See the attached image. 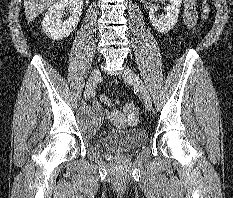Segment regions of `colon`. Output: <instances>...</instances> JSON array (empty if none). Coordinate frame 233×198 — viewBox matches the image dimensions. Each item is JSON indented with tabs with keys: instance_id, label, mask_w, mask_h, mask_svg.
I'll return each instance as SVG.
<instances>
[{
	"instance_id": "colon-1",
	"label": "colon",
	"mask_w": 233,
	"mask_h": 198,
	"mask_svg": "<svg viewBox=\"0 0 233 198\" xmlns=\"http://www.w3.org/2000/svg\"><path fill=\"white\" fill-rule=\"evenodd\" d=\"M210 15V8L206 0L202 2V18L208 19ZM100 102L104 105H111V100L106 96H100ZM124 112L130 118H135L139 113V108L135 103L128 102L124 105Z\"/></svg>"
}]
</instances>
